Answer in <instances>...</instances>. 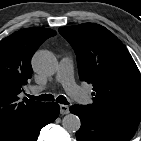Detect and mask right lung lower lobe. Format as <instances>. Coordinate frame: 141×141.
I'll use <instances>...</instances> for the list:
<instances>
[{
	"instance_id": "right-lung-lower-lobe-1",
	"label": "right lung lower lobe",
	"mask_w": 141,
	"mask_h": 141,
	"mask_svg": "<svg viewBox=\"0 0 141 141\" xmlns=\"http://www.w3.org/2000/svg\"><path fill=\"white\" fill-rule=\"evenodd\" d=\"M60 112L56 103H44L33 114L25 118L15 129L0 141H37L40 130L54 121Z\"/></svg>"
}]
</instances>
